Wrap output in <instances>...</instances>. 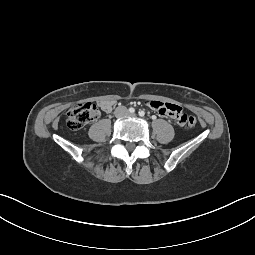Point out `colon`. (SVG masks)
I'll return each instance as SVG.
<instances>
[{"instance_id": "obj_1", "label": "colon", "mask_w": 255, "mask_h": 255, "mask_svg": "<svg viewBox=\"0 0 255 255\" xmlns=\"http://www.w3.org/2000/svg\"><path fill=\"white\" fill-rule=\"evenodd\" d=\"M99 116L100 109L96 104L91 102L78 103L69 109L66 124L71 130H79L86 124L97 120ZM187 116L188 123L186 125L193 127L196 124V118L192 115Z\"/></svg>"}]
</instances>
